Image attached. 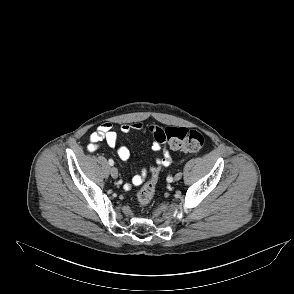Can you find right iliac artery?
<instances>
[{
	"label": "right iliac artery",
	"instance_id": "1",
	"mask_svg": "<svg viewBox=\"0 0 294 294\" xmlns=\"http://www.w3.org/2000/svg\"><path fill=\"white\" fill-rule=\"evenodd\" d=\"M109 164H110L111 166H113V165H114V161H113L112 159H110V160H109Z\"/></svg>",
	"mask_w": 294,
	"mask_h": 294
}]
</instances>
